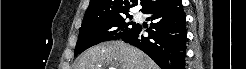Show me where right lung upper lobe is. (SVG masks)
<instances>
[{
    "label": "right lung upper lobe",
    "mask_w": 246,
    "mask_h": 69,
    "mask_svg": "<svg viewBox=\"0 0 246 69\" xmlns=\"http://www.w3.org/2000/svg\"><path fill=\"white\" fill-rule=\"evenodd\" d=\"M164 0H144L141 11L159 4ZM137 3V0H90L83 21H94L107 18L113 15L128 14L129 9Z\"/></svg>",
    "instance_id": "1"
}]
</instances>
